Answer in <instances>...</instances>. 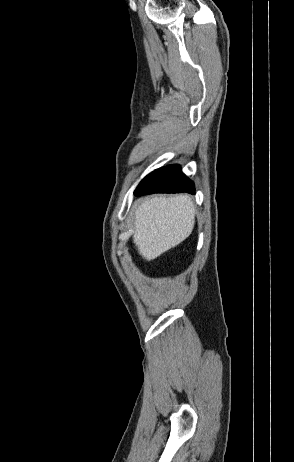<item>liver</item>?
Masks as SVG:
<instances>
[{
    "mask_svg": "<svg viewBox=\"0 0 294 462\" xmlns=\"http://www.w3.org/2000/svg\"><path fill=\"white\" fill-rule=\"evenodd\" d=\"M195 224V207L188 195L154 197L135 211L133 242L148 261L184 241Z\"/></svg>",
    "mask_w": 294,
    "mask_h": 462,
    "instance_id": "liver-1",
    "label": "liver"
}]
</instances>
